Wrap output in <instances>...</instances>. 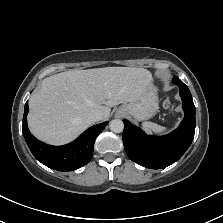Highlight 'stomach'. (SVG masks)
<instances>
[{"mask_svg":"<svg viewBox=\"0 0 223 223\" xmlns=\"http://www.w3.org/2000/svg\"><path fill=\"white\" fill-rule=\"evenodd\" d=\"M159 110V98L157 86L150 82L146 85L139 98L121 105L117 115L131 117L135 121H145L155 116Z\"/></svg>","mask_w":223,"mask_h":223,"instance_id":"0dacf381","label":"stomach"}]
</instances>
